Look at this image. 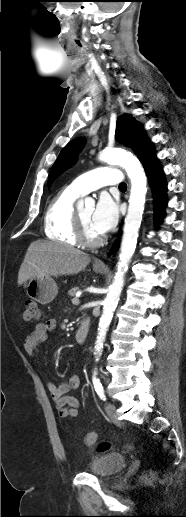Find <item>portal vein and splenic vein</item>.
<instances>
[{"mask_svg": "<svg viewBox=\"0 0 186 517\" xmlns=\"http://www.w3.org/2000/svg\"><path fill=\"white\" fill-rule=\"evenodd\" d=\"M72 303H73L74 305H78V304L80 303V301H79V299H77V298H73V299H72Z\"/></svg>", "mask_w": 186, "mask_h": 517, "instance_id": "1", "label": "portal vein and splenic vein"}]
</instances>
